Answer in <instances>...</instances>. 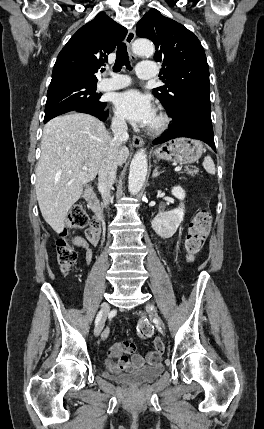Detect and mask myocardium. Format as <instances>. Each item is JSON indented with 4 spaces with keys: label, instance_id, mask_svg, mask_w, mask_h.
Instances as JSON below:
<instances>
[{
    "label": "myocardium",
    "instance_id": "1",
    "mask_svg": "<svg viewBox=\"0 0 264 429\" xmlns=\"http://www.w3.org/2000/svg\"><path fill=\"white\" fill-rule=\"evenodd\" d=\"M169 125V117L165 113H158L154 121L149 124L147 131L150 134L157 135L161 134L166 130Z\"/></svg>",
    "mask_w": 264,
    "mask_h": 429
}]
</instances>
